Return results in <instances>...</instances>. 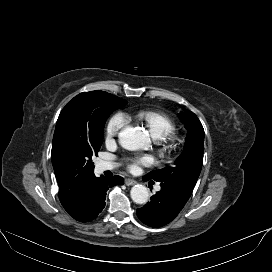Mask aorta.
Listing matches in <instances>:
<instances>
[{
	"mask_svg": "<svg viewBox=\"0 0 272 272\" xmlns=\"http://www.w3.org/2000/svg\"><path fill=\"white\" fill-rule=\"evenodd\" d=\"M147 142L148 134L140 127H127L119 133L120 145L128 150L143 148ZM130 195L136 204H146L149 199L148 189L143 185L133 186Z\"/></svg>",
	"mask_w": 272,
	"mask_h": 272,
	"instance_id": "762f6f07",
	"label": "aorta"
}]
</instances>
